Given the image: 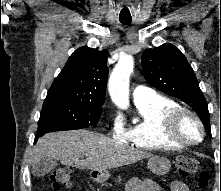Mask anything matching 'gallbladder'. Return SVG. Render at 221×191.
I'll use <instances>...</instances> for the list:
<instances>
[{
	"label": "gallbladder",
	"instance_id": "obj_1",
	"mask_svg": "<svg viewBox=\"0 0 221 191\" xmlns=\"http://www.w3.org/2000/svg\"><path fill=\"white\" fill-rule=\"evenodd\" d=\"M57 164V161L54 159L44 158L33 167L32 173L35 177H42L51 172Z\"/></svg>",
	"mask_w": 221,
	"mask_h": 191
}]
</instances>
